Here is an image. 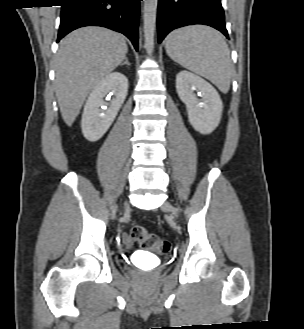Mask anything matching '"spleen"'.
Returning a JSON list of instances; mask_svg holds the SVG:
<instances>
[{
	"label": "spleen",
	"mask_w": 304,
	"mask_h": 329,
	"mask_svg": "<svg viewBox=\"0 0 304 329\" xmlns=\"http://www.w3.org/2000/svg\"><path fill=\"white\" fill-rule=\"evenodd\" d=\"M168 56L182 67L198 74L227 93L232 78L230 51L223 36L204 25H191L172 31L165 44Z\"/></svg>",
	"instance_id": "3e777b00"
}]
</instances>
